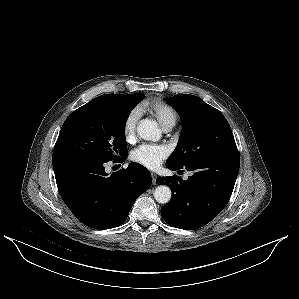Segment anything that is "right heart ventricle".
Wrapping results in <instances>:
<instances>
[{
    "mask_svg": "<svg viewBox=\"0 0 299 299\" xmlns=\"http://www.w3.org/2000/svg\"><path fill=\"white\" fill-rule=\"evenodd\" d=\"M143 109L154 116L162 128L168 126L173 127L177 122V112L163 100H151L143 107Z\"/></svg>",
    "mask_w": 299,
    "mask_h": 299,
    "instance_id": "e07e8e85",
    "label": "right heart ventricle"
}]
</instances>
